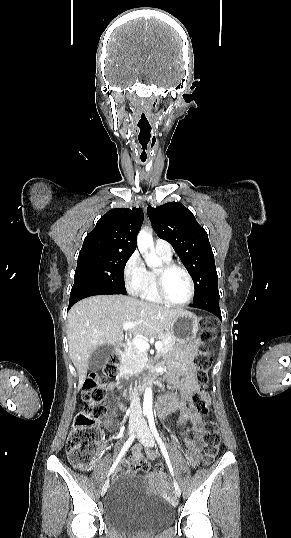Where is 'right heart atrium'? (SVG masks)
<instances>
[{
    "instance_id": "obj_1",
    "label": "right heart atrium",
    "mask_w": 291,
    "mask_h": 538,
    "mask_svg": "<svg viewBox=\"0 0 291 538\" xmlns=\"http://www.w3.org/2000/svg\"><path fill=\"white\" fill-rule=\"evenodd\" d=\"M122 273L128 292L132 295L140 294L146 278V268L138 251H134L125 261Z\"/></svg>"
}]
</instances>
